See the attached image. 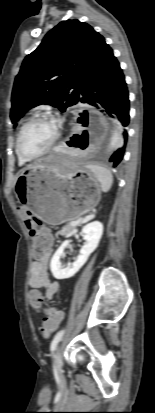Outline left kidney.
Returning a JSON list of instances; mask_svg holds the SVG:
<instances>
[{
    "instance_id": "left-kidney-1",
    "label": "left kidney",
    "mask_w": 155,
    "mask_h": 413,
    "mask_svg": "<svg viewBox=\"0 0 155 413\" xmlns=\"http://www.w3.org/2000/svg\"><path fill=\"white\" fill-rule=\"evenodd\" d=\"M82 234L85 243L81 248L76 261L71 265L63 268L60 262V258L63 256L64 250L69 244L68 240H65L54 253L51 259L50 268L56 279L62 280L71 278L80 270V268L88 260L91 253H93L97 248L103 234V225L99 221L90 222L83 227Z\"/></svg>"
}]
</instances>
